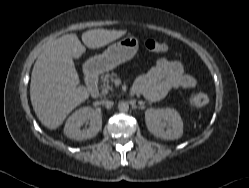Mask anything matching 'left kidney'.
I'll return each instance as SVG.
<instances>
[{"mask_svg":"<svg viewBox=\"0 0 249 188\" xmlns=\"http://www.w3.org/2000/svg\"><path fill=\"white\" fill-rule=\"evenodd\" d=\"M145 122L150 133L166 140L178 139L183 134V122L179 113L173 108L147 109ZM163 123L170 128L165 130Z\"/></svg>","mask_w":249,"mask_h":188,"instance_id":"obj_1","label":"left kidney"}]
</instances>
